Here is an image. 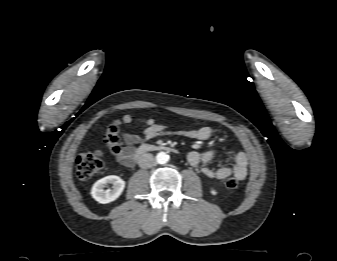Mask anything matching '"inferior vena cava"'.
I'll use <instances>...</instances> for the list:
<instances>
[{
  "label": "inferior vena cava",
  "mask_w": 337,
  "mask_h": 261,
  "mask_svg": "<svg viewBox=\"0 0 337 261\" xmlns=\"http://www.w3.org/2000/svg\"><path fill=\"white\" fill-rule=\"evenodd\" d=\"M140 168L148 169L155 164L154 156L151 153H144L138 158Z\"/></svg>",
  "instance_id": "1"
}]
</instances>
